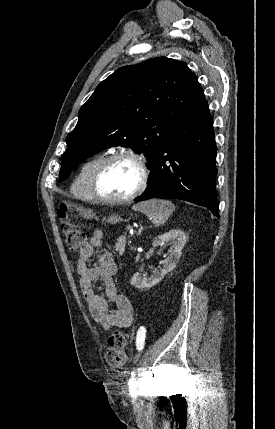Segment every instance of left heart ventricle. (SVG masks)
<instances>
[{"mask_svg":"<svg viewBox=\"0 0 275 429\" xmlns=\"http://www.w3.org/2000/svg\"><path fill=\"white\" fill-rule=\"evenodd\" d=\"M140 179L137 165L130 160L111 163L102 174L99 187L103 195L120 198L132 193Z\"/></svg>","mask_w":275,"mask_h":429,"instance_id":"1","label":"left heart ventricle"}]
</instances>
